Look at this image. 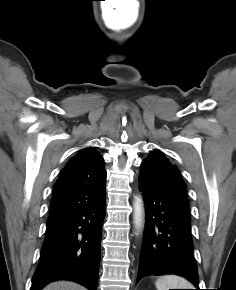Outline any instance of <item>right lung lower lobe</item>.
<instances>
[{
  "mask_svg": "<svg viewBox=\"0 0 236 290\" xmlns=\"http://www.w3.org/2000/svg\"><path fill=\"white\" fill-rule=\"evenodd\" d=\"M105 197L47 225L31 290L66 279L97 290Z\"/></svg>",
  "mask_w": 236,
  "mask_h": 290,
  "instance_id": "obj_1",
  "label": "right lung lower lobe"
}]
</instances>
